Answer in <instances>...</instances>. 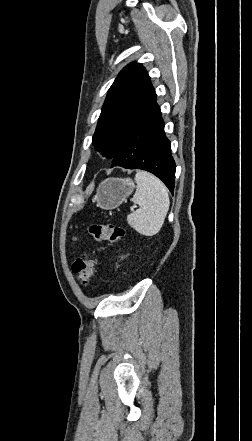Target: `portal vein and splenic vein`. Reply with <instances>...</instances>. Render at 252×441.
<instances>
[{"instance_id": "obj_1", "label": "portal vein and splenic vein", "mask_w": 252, "mask_h": 441, "mask_svg": "<svg viewBox=\"0 0 252 441\" xmlns=\"http://www.w3.org/2000/svg\"><path fill=\"white\" fill-rule=\"evenodd\" d=\"M131 210H134V207H131Z\"/></svg>"}]
</instances>
